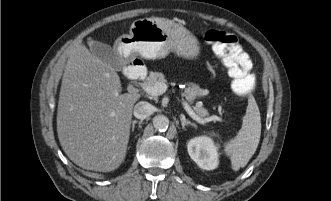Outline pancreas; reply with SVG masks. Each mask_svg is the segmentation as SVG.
Wrapping results in <instances>:
<instances>
[{
    "label": "pancreas",
    "instance_id": "pancreas-1",
    "mask_svg": "<svg viewBox=\"0 0 331 201\" xmlns=\"http://www.w3.org/2000/svg\"><path fill=\"white\" fill-rule=\"evenodd\" d=\"M157 82L166 83L167 80L165 79L164 74L159 73V72H151L150 75L145 79L143 85L154 86ZM187 85L188 86L184 91V95L186 96V98L189 102H193L196 98L204 96L208 93L207 90L201 89L199 87V85H197L195 83H188ZM153 98H156V96H153ZM194 111L201 118L206 119L209 116L208 111L204 107H202L201 104L195 105Z\"/></svg>",
    "mask_w": 331,
    "mask_h": 201
}]
</instances>
